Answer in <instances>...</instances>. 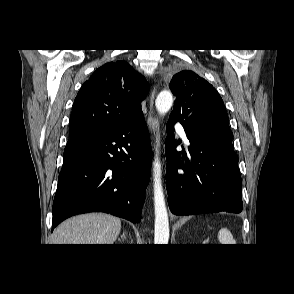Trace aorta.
<instances>
[{
    "instance_id": "aorta-1",
    "label": "aorta",
    "mask_w": 294,
    "mask_h": 294,
    "mask_svg": "<svg viewBox=\"0 0 294 294\" xmlns=\"http://www.w3.org/2000/svg\"><path fill=\"white\" fill-rule=\"evenodd\" d=\"M173 104V96L169 91H162L158 94L155 106L159 115L166 114ZM162 170L159 158V151L153 161V192H154V210H155V232L154 243L166 245L169 241V219L165 204V198L162 187Z\"/></svg>"
}]
</instances>
